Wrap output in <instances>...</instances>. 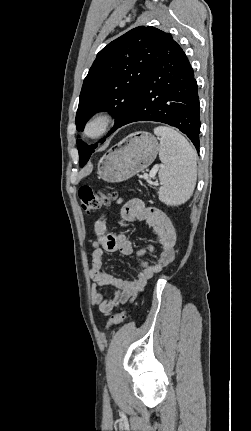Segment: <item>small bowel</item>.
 <instances>
[{"label":"small bowel","instance_id":"obj_1","mask_svg":"<svg viewBox=\"0 0 251 431\" xmlns=\"http://www.w3.org/2000/svg\"><path fill=\"white\" fill-rule=\"evenodd\" d=\"M136 220L144 221L152 228L159 251L156 252L153 246L140 249L137 255L156 252V260L151 263L137 264L135 266L137 273L132 278L111 275L105 270L103 261L106 252L131 255L133 247L130 240L124 234L107 233L103 216L94 223L96 238L92 243V262L89 270L93 281L91 301L103 315H109L116 307L132 302L145 288L147 282L174 260L176 231L166 214L158 209L147 207L142 200L134 198L123 203L120 223L125 225ZM109 286L114 288V293L112 296H105L102 289Z\"/></svg>","mask_w":251,"mask_h":431}]
</instances>
